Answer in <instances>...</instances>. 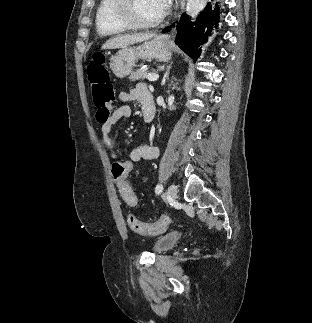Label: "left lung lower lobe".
I'll return each instance as SVG.
<instances>
[{
	"label": "left lung lower lobe",
	"instance_id": "0a47b994",
	"mask_svg": "<svg viewBox=\"0 0 312 323\" xmlns=\"http://www.w3.org/2000/svg\"><path fill=\"white\" fill-rule=\"evenodd\" d=\"M223 13L221 2L212 0L193 21L186 15H182L177 22L176 44L184 50L191 58L197 59L201 53L199 48L207 42L218 40L221 28V14ZM172 24L170 27H174ZM167 27L163 32H167Z\"/></svg>",
	"mask_w": 312,
	"mask_h": 323
}]
</instances>
